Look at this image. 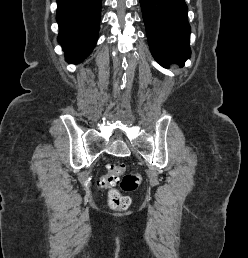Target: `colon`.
Here are the masks:
<instances>
[{"label":"colon","mask_w":248,"mask_h":258,"mask_svg":"<svg viewBox=\"0 0 248 258\" xmlns=\"http://www.w3.org/2000/svg\"><path fill=\"white\" fill-rule=\"evenodd\" d=\"M125 171L126 166L122 162L110 164L107 173L100 179V185L104 188H111L119 182L124 191L137 190L141 183L140 174L136 172L125 173ZM108 200L109 206L114 210H126L130 205V199L115 189L110 190Z\"/></svg>","instance_id":"colon-1"}]
</instances>
